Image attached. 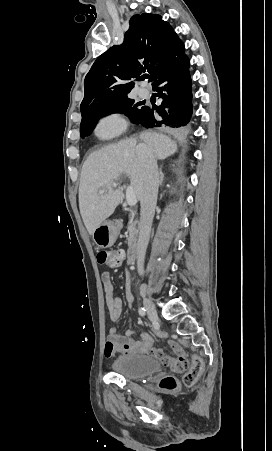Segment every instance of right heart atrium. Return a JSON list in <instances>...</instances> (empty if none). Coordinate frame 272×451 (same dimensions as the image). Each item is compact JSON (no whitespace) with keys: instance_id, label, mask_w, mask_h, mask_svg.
<instances>
[{"instance_id":"obj_1","label":"right heart atrium","mask_w":272,"mask_h":451,"mask_svg":"<svg viewBox=\"0 0 272 451\" xmlns=\"http://www.w3.org/2000/svg\"><path fill=\"white\" fill-rule=\"evenodd\" d=\"M124 125L123 119L118 115H112L100 122L97 128V133L100 136H109L122 129Z\"/></svg>"}]
</instances>
